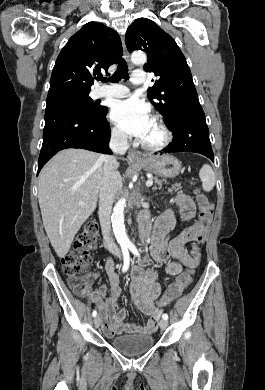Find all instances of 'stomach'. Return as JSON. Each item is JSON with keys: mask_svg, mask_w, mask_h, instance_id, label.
Segmentation results:
<instances>
[{"mask_svg": "<svg viewBox=\"0 0 265 390\" xmlns=\"http://www.w3.org/2000/svg\"><path fill=\"white\" fill-rule=\"evenodd\" d=\"M139 166L147 172L165 178H174L181 170V162L172 155H164L160 158H147Z\"/></svg>", "mask_w": 265, "mask_h": 390, "instance_id": "obj_1", "label": "stomach"}]
</instances>
